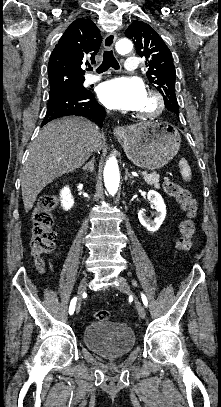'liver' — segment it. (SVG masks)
Returning <instances> with one entry per match:
<instances>
[{
    "label": "liver",
    "mask_w": 221,
    "mask_h": 407,
    "mask_svg": "<svg viewBox=\"0 0 221 407\" xmlns=\"http://www.w3.org/2000/svg\"><path fill=\"white\" fill-rule=\"evenodd\" d=\"M104 143L105 136L86 119L68 117L46 124L31 144L20 177L25 212L49 183L81 167Z\"/></svg>",
    "instance_id": "1"
}]
</instances>
